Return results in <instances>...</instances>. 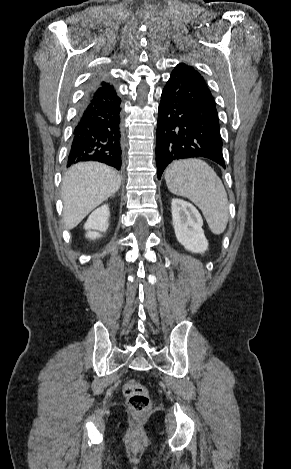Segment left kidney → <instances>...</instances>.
Segmentation results:
<instances>
[{
    "instance_id": "obj_1",
    "label": "left kidney",
    "mask_w": 291,
    "mask_h": 469,
    "mask_svg": "<svg viewBox=\"0 0 291 469\" xmlns=\"http://www.w3.org/2000/svg\"><path fill=\"white\" fill-rule=\"evenodd\" d=\"M172 224L179 243L192 253H204L208 241L202 229L203 220L199 211L191 203L172 199Z\"/></svg>"
}]
</instances>
